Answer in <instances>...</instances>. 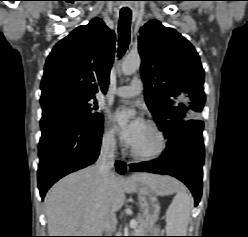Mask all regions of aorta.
Masks as SVG:
<instances>
[{
	"mask_svg": "<svg viewBox=\"0 0 248 237\" xmlns=\"http://www.w3.org/2000/svg\"><path fill=\"white\" fill-rule=\"evenodd\" d=\"M141 64V58L139 54H129L125 57L122 63V71L125 75H131L135 73ZM127 123V119L123 118L119 120V125L124 126Z\"/></svg>",
	"mask_w": 248,
	"mask_h": 237,
	"instance_id": "obj_1",
	"label": "aorta"
}]
</instances>
